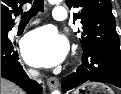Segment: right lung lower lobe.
Listing matches in <instances>:
<instances>
[{"label":"right lung lower lobe","instance_id":"right-lung-lower-lobe-1","mask_svg":"<svg viewBox=\"0 0 121 94\" xmlns=\"http://www.w3.org/2000/svg\"><path fill=\"white\" fill-rule=\"evenodd\" d=\"M7 29L8 32L11 30ZM15 43L8 39H1V77L6 78L23 88L29 94H42V86L29 79L18 62Z\"/></svg>","mask_w":121,"mask_h":94}]
</instances>
